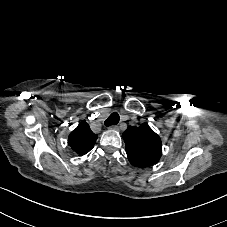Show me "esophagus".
<instances>
[{
    "instance_id": "1",
    "label": "esophagus",
    "mask_w": 227,
    "mask_h": 227,
    "mask_svg": "<svg viewBox=\"0 0 227 227\" xmlns=\"http://www.w3.org/2000/svg\"><path fill=\"white\" fill-rule=\"evenodd\" d=\"M110 129L117 130L118 127L117 126H111Z\"/></svg>"
}]
</instances>
